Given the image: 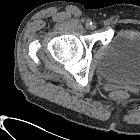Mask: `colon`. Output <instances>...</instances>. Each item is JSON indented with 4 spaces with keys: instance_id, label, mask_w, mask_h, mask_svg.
<instances>
[{
    "instance_id": "1",
    "label": "colon",
    "mask_w": 140,
    "mask_h": 140,
    "mask_svg": "<svg viewBox=\"0 0 140 140\" xmlns=\"http://www.w3.org/2000/svg\"><path fill=\"white\" fill-rule=\"evenodd\" d=\"M128 91L125 89H116L111 93V97L117 101H123L128 98Z\"/></svg>"
}]
</instances>
